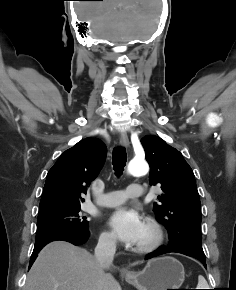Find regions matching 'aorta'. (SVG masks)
Instances as JSON below:
<instances>
[{"label":"aorta","mask_w":236,"mask_h":290,"mask_svg":"<svg viewBox=\"0 0 236 290\" xmlns=\"http://www.w3.org/2000/svg\"><path fill=\"white\" fill-rule=\"evenodd\" d=\"M149 170L148 164L144 160L133 159L129 162L127 173L139 177L146 175Z\"/></svg>","instance_id":"aorta-1"}]
</instances>
